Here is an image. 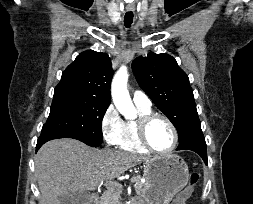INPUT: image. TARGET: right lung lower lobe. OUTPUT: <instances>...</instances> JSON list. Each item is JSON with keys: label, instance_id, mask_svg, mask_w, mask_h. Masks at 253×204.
<instances>
[{"label": "right lung lower lobe", "instance_id": "right-lung-lower-lobe-1", "mask_svg": "<svg viewBox=\"0 0 253 204\" xmlns=\"http://www.w3.org/2000/svg\"><path fill=\"white\" fill-rule=\"evenodd\" d=\"M57 138H63L61 136L58 135H51V134H41V136L39 137L38 141H37V145H36V151L47 141L52 140V139H57Z\"/></svg>", "mask_w": 253, "mask_h": 204}]
</instances>
